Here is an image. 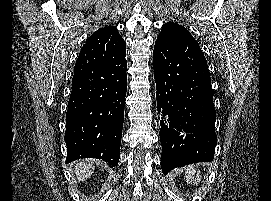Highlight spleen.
Wrapping results in <instances>:
<instances>
[{"label":"spleen","mask_w":271,"mask_h":201,"mask_svg":"<svg viewBox=\"0 0 271 201\" xmlns=\"http://www.w3.org/2000/svg\"><path fill=\"white\" fill-rule=\"evenodd\" d=\"M196 174V177H195ZM186 181L188 184L195 183L198 185L200 183V171H196V168L194 165H189L186 169Z\"/></svg>","instance_id":"obj_1"}]
</instances>
